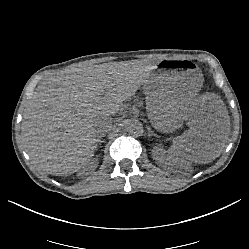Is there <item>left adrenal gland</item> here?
<instances>
[{
    "instance_id": "a2214340",
    "label": "left adrenal gland",
    "mask_w": 249,
    "mask_h": 249,
    "mask_svg": "<svg viewBox=\"0 0 249 249\" xmlns=\"http://www.w3.org/2000/svg\"><path fill=\"white\" fill-rule=\"evenodd\" d=\"M148 136L150 137V136H152L151 134H152V130L150 129V128H148Z\"/></svg>"
}]
</instances>
